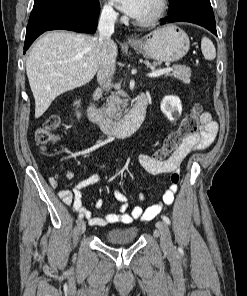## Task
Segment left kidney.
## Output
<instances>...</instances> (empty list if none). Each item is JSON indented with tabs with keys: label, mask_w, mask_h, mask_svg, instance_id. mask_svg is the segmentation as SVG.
I'll return each instance as SVG.
<instances>
[{
	"label": "left kidney",
	"mask_w": 247,
	"mask_h": 296,
	"mask_svg": "<svg viewBox=\"0 0 247 296\" xmlns=\"http://www.w3.org/2000/svg\"><path fill=\"white\" fill-rule=\"evenodd\" d=\"M160 107L170 121H175L182 113V104L177 96L164 97Z\"/></svg>",
	"instance_id": "5707ae66"
}]
</instances>
